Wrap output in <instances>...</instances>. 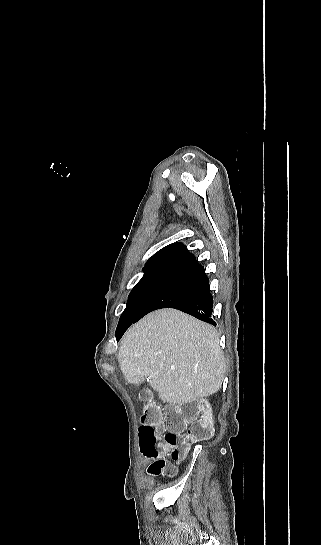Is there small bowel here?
Listing matches in <instances>:
<instances>
[{"mask_svg":"<svg viewBox=\"0 0 321 545\" xmlns=\"http://www.w3.org/2000/svg\"><path fill=\"white\" fill-rule=\"evenodd\" d=\"M162 460H163L162 458H158L157 460H154V462L149 466V469H148V471H149L150 474H154V475L157 474V466H156V465H157V463H158L159 461H162ZM173 467H174V466H173ZM174 469L176 470L175 467H174Z\"/></svg>","mask_w":321,"mask_h":545,"instance_id":"small-bowel-1","label":"small bowel"}]
</instances>
